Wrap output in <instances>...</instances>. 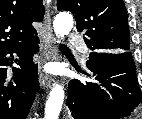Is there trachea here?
Returning a JSON list of instances; mask_svg holds the SVG:
<instances>
[{
    "label": "trachea",
    "mask_w": 142,
    "mask_h": 119,
    "mask_svg": "<svg viewBox=\"0 0 142 119\" xmlns=\"http://www.w3.org/2000/svg\"><path fill=\"white\" fill-rule=\"evenodd\" d=\"M60 47H61V48H68V47H67L66 45H64V44H61Z\"/></svg>",
    "instance_id": "trachea-1"
}]
</instances>
